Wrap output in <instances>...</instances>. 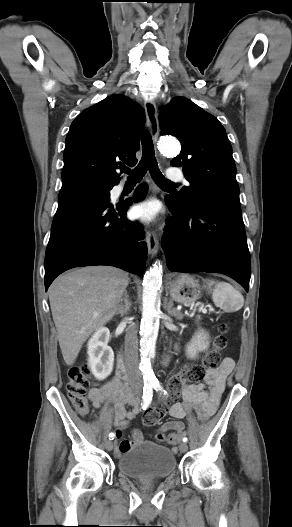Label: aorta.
I'll return each mask as SVG.
<instances>
[{
  "instance_id": "762f6f07",
  "label": "aorta",
  "mask_w": 292,
  "mask_h": 527,
  "mask_svg": "<svg viewBox=\"0 0 292 527\" xmlns=\"http://www.w3.org/2000/svg\"><path fill=\"white\" fill-rule=\"evenodd\" d=\"M159 149L166 155H177L180 152L179 142L171 137H164L159 142ZM160 265H154L146 272L143 279L142 319L140 324V370L147 383H154L156 378L151 368V357L155 354L156 340L159 331L160 303L158 292L162 277Z\"/></svg>"
}]
</instances>
